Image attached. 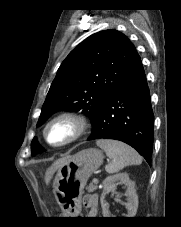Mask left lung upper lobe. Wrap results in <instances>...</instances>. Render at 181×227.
Masks as SVG:
<instances>
[{
  "label": "left lung upper lobe",
  "mask_w": 181,
  "mask_h": 227,
  "mask_svg": "<svg viewBox=\"0 0 181 227\" xmlns=\"http://www.w3.org/2000/svg\"><path fill=\"white\" fill-rule=\"evenodd\" d=\"M138 53L116 30L95 33L75 47L60 65L51 84L37 126L59 110H82L97 122L115 86L133 65ZM32 155L44 148L34 137Z\"/></svg>",
  "instance_id": "1"
}]
</instances>
